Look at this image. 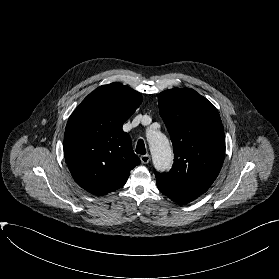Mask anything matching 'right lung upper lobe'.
<instances>
[{"label": "right lung upper lobe", "instance_id": "right-lung-upper-lobe-1", "mask_svg": "<svg viewBox=\"0 0 279 279\" xmlns=\"http://www.w3.org/2000/svg\"><path fill=\"white\" fill-rule=\"evenodd\" d=\"M141 102L139 92L111 83L95 89L71 114L64 156L76 183L91 194L119 189L140 163L122 126Z\"/></svg>", "mask_w": 279, "mask_h": 279}]
</instances>
